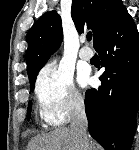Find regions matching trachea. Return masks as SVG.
Returning a JSON list of instances; mask_svg holds the SVG:
<instances>
[{
  "instance_id": "trachea-1",
  "label": "trachea",
  "mask_w": 139,
  "mask_h": 150,
  "mask_svg": "<svg viewBox=\"0 0 139 150\" xmlns=\"http://www.w3.org/2000/svg\"><path fill=\"white\" fill-rule=\"evenodd\" d=\"M91 39H92V34H87V40L91 41Z\"/></svg>"
}]
</instances>
